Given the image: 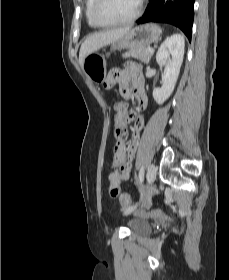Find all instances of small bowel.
<instances>
[{"label":"small bowel","mask_w":229,"mask_h":280,"mask_svg":"<svg viewBox=\"0 0 229 280\" xmlns=\"http://www.w3.org/2000/svg\"><path fill=\"white\" fill-rule=\"evenodd\" d=\"M115 85L118 86L120 92L124 95L133 89L136 97L137 111L146 109L148 98L145 91V80L141 73V67L138 64L128 63L125 68L112 69L106 78L105 87L112 89ZM115 110L117 114L126 113L129 118H134V113H128L127 105L124 102H117ZM144 126V118H135L129 146L126 147L122 140L117 141L114 146L111 163L112 171L108 176V184L117 187L119 190L122 182L130 177L132 170L131 160L137 151L138 141Z\"/></svg>","instance_id":"small-bowel-1"}]
</instances>
